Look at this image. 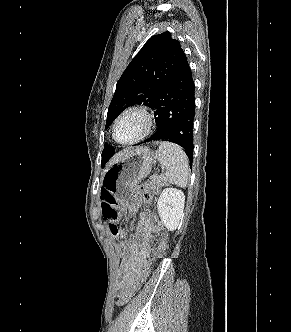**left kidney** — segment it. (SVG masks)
I'll return each instance as SVG.
<instances>
[{
	"label": "left kidney",
	"instance_id": "left-kidney-1",
	"mask_svg": "<svg viewBox=\"0 0 291 332\" xmlns=\"http://www.w3.org/2000/svg\"><path fill=\"white\" fill-rule=\"evenodd\" d=\"M185 195L176 188H165L157 202L158 213L164 226L173 231L183 217Z\"/></svg>",
	"mask_w": 291,
	"mask_h": 332
}]
</instances>
